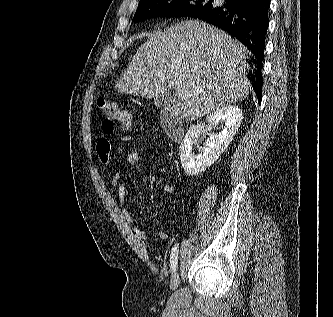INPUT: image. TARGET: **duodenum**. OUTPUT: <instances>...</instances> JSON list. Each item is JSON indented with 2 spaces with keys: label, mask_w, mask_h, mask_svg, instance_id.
Returning <instances> with one entry per match:
<instances>
[{
  "label": "duodenum",
  "mask_w": 333,
  "mask_h": 317,
  "mask_svg": "<svg viewBox=\"0 0 333 317\" xmlns=\"http://www.w3.org/2000/svg\"><path fill=\"white\" fill-rule=\"evenodd\" d=\"M160 122L170 139L173 141H180L183 138V125L169 109L162 110L160 114Z\"/></svg>",
  "instance_id": "obj_1"
}]
</instances>
